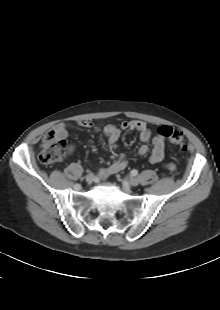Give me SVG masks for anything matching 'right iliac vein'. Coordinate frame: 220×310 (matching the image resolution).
Instances as JSON below:
<instances>
[{"label":"right iliac vein","instance_id":"63e3f726","mask_svg":"<svg viewBox=\"0 0 220 310\" xmlns=\"http://www.w3.org/2000/svg\"><path fill=\"white\" fill-rule=\"evenodd\" d=\"M94 180H95V177H94L93 174H88V175L86 176V182H87L88 184H91Z\"/></svg>","mask_w":220,"mask_h":310}]
</instances>
